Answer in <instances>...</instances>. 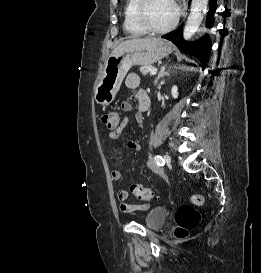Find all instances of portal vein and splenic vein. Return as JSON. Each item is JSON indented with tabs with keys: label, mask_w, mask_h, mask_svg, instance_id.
<instances>
[{
	"label": "portal vein and splenic vein",
	"mask_w": 261,
	"mask_h": 273,
	"mask_svg": "<svg viewBox=\"0 0 261 273\" xmlns=\"http://www.w3.org/2000/svg\"><path fill=\"white\" fill-rule=\"evenodd\" d=\"M157 73V70H152L151 72H150V75H154V74H156Z\"/></svg>",
	"instance_id": "18ae733b"
}]
</instances>
